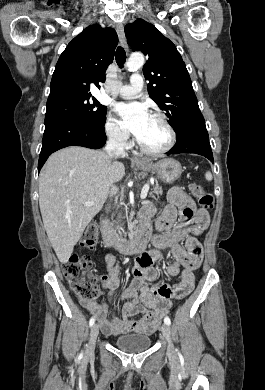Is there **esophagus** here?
<instances>
[{
	"mask_svg": "<svg viewBox=\"0 0 265 390\" xmlns=\"http://www.w3.org/2000/svg\"><path fill=\"white\" fill-rule=\"evenodd\" d=\"M117 34H118L120 45L126 51H128V45H127L126 37H125V34H124V27H123L122 23H119L117 25ZM132 161H134V162H141V159L138 158V157H132Z\"/></svg>",
	"mask_w": 265,
	"mask_h": 390,
	"instance_id": "obj_1",
	"label": "esophagus"
}]
</instances>
